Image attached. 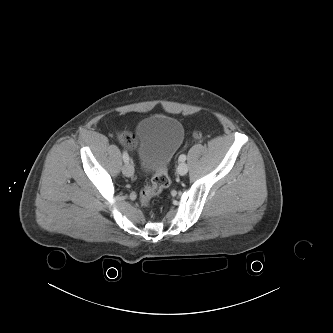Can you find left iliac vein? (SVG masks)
I'll use <instances>...</instances> for the list:
<instances>
[{
	"label": "left iliac vein",
	"mask_w": 333,
	"mask_h": 333,
	"mask_svg": "<svg viewBox=\"0 0 333 333\" xmlns=\"http://www.w3.org/2000/svg\"><path fill=\"white\" fill-rule=\"evenodd\" d=\"M177 172L181 175L184 176L188 172V166L186 163L182 162L178 165Z\"/></svg>",
	"instance_id": "left-iliac-vein-1"
}]
</instances>
